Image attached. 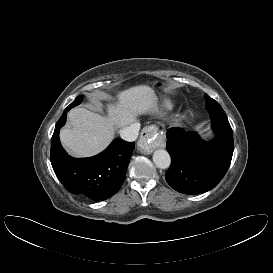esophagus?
<instances>
[{
    "label": "esophagus",
    "instance_id": "esophagus-1",
    "mask_svg": "<svg viewBox=\"0 0 273 273\" xmlns=\"http://www.w3.org/2000/svg\"><path fill=\"white\" fill-rule=\"evenodd\" d=\"M157 132L156 126L143 128L138 143L141 153L150 154L154 149L165 146V138Z\"/></svg>",
    "mask_w": 273,
    "mask_h": 273
}]
</instances>
